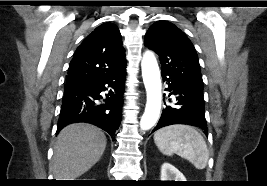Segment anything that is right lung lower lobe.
<instances>
[{"instance_id": "right-lung-lower-lobe-1", "label": "right lung lower lobe", "mask_w": 267, "mask_h": 186, "mask_svg": "<svg viewBox=\"0 0 267 186\" xmlns=\"http://www.w3.org/2000/svg\"><path fill=\"white\" fill-rule=\"evenodd\" d=\"M126 65L109 73L67 82L58 120L59 132L68 124H94L113 138L118 129L123 106ZM108 90L102 96L100 93Z\"/></svg>"}]
</instances>
